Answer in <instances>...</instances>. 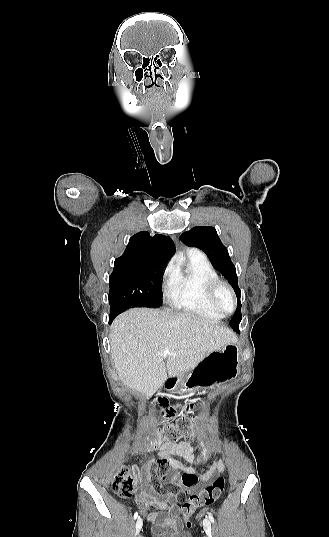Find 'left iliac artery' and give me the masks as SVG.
I'll return each instance as SVG.
<instances>
[{
    "mask_svg": "<svg viewBox=\"0 0 329 537\" xmlns=\"http://www.w3.org/2000/svg\"><path fill=\"white\" fill-rule=\"evenodd\" d=\"M208 517H209L210 521L214 524L215 521H214L213 515L211 513H208Z\"/></svg>",
    "mask_w": 329,
    "mask_h": 537,
    "instance_id": "44dca946",
    "label": "left iliac artery"
}]
</instances>
